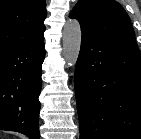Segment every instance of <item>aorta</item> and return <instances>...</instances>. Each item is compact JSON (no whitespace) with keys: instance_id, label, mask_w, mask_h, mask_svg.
<instances>
[{"instance_id":"aorta-1","label":"aorta","mask_w":141,"mask_h":139,"mask_svg":"<svg viewBox=\"0 0 141 139\" xmlns=\"http://www.w3.org/2000/svg\"><path fill=\"white\" fill-rule=\"evenodd\" d=\"M81 27L76 19L66 21L63 29V57L67 65L76 64L81 47Z\"/></svg>"}]
</instances>
